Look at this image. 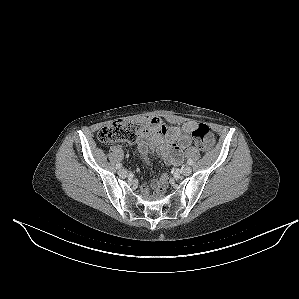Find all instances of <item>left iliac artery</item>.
<instances>
[{"mask_svg": "<svg viewBox=\"0 0 299 299\" xmlns=\"http://www.w3.org/2000/svg\"><path fill=\"white\" fill-rule=\"evenodd\" d=\"M187 163L189 164V165H193V161L191 160V159H189L188 161H187Z\"/></svg>", "mask_w": 299, "mask_h": 299, "instance_id": "1", "label": "left iliac artery"}]
</instances>
